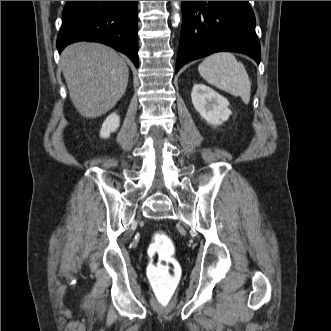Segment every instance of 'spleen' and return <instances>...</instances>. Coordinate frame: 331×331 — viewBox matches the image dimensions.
Masks as SVG:
<instances>
[{
	"label": "spleen",
	"mask_w": 331,
	"mask_h": 331,
	"mask_svg": "<svg viewBox=\"0 0 331 331\" xmlns=\"http://www.w3.org/2000/svg\"><path fill=\"white\" fill-rule=\"evenodd\" d=\"M199 74L217 88L240 96L249 104L251 83L244 65L229 52H219L206 57L198 66Z\"/></svg>",
	"instance_id": "spleen-1"
}]
</instances>
